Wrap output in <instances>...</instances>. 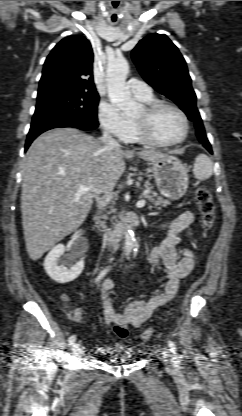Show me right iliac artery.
<instances>
[{
  "instance_id": "obj_1",
  "label": "right iliac artery",
  "mask_w": 242,
  "mask_h": 416,
  "mask_svg": "<svg viewBox=\"0 0 242 416\" xmlns=\"http://www.w3.org/2000/svg\"><path fill=\"white\" fill-rule=\"evenodd\" d=\"M108 271H109V268L104 269L99 274V276L96 278V282H98ZM75 340H76V336L75 335L70 336L69 339H68V345L74 344Z\"/></svg>"
}]
</instances>
